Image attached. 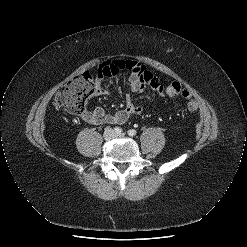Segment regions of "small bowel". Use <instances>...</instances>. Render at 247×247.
Segmentation results:
<instances>
[{
    "label": "small bowel",
    "mask_w": 247,
    "mask_h": 247,
    "mask_svg": "<svg viewBox=\"0 0 247 247\" xmlns=\"http://www.w3.org/2000/svg\"><path fill=\"white\" fill-rule=\"evenodd\" d=\"M121 71L130 74L129 84L133 93H140L150 88L161 96H165V87L160 79L148 71L144 65L133 60H108L100 64L97 78L95 80V95L107 96L109 91L102 85L104 78L117 75ZM142 112V107L136 104L133 98L128 95L125 100V107L114 113H106L102 107L96 106L92 111H84L80 118L92 125L101 124H124L133 116Z\"/></svg>",
    "instance_id": "c3829d8e"
}]
</instances>
